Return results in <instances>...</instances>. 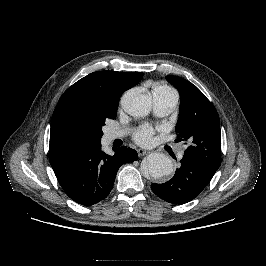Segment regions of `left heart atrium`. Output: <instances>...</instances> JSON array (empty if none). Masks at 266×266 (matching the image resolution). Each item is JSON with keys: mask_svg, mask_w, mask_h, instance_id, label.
<instances>
[{"mask_svg": "<svg viewBox=\"0 0 266 266\" xmlns=\"http://www.w3.org/2000/svg\"><path fill=\"white\" fill-rule=\"evenodd\" d=\"M153 134V128L151 126L144 125L136 131L134 139L140 144H149L152 141Z\"/></svg>", "mask_w": 266, "mask_h": 266, "instance_id": "1", "label": "left heart atrium"}]
</instances>
